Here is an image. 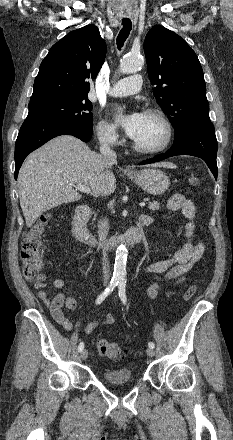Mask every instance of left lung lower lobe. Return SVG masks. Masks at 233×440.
<instances>
[{
    "label": "left lung lower lobe",
    "mask_w": 233,
    "mask_h": 440,
    "mask_svg": "<svg viewBox=\"0 0 233 440\" xmlns=\"http://www.w3.org/2000/svg\"><path fill=\"white\" fill-rule=\"evenodd\" d=\"M176 155H192L202 158L217 179V140L213 124L209 122L193 125L180 139L174 140L169 151L141 162L140 165L158 162Z\"/></svg>",
    "instance_id": "obj_1"
}]
</instances>
